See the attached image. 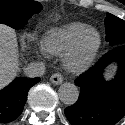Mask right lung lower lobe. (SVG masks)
Wrapping results in <instances>:
<instances>
[{
	"label": "right lung lower lobe",
	"instance_id": "98d812e1",
	"mask_svg": "<svg viewBox=\"0 0 125 125\" xmlns=\"http://www.w3.org/2000/svg\"><path fill=\"white\" fill-rule=\"evenodd\" d=\"M39 81V77H19L0 90V123L11 122L22 113L29 89Z\"/></svg>",
	"mask_w": 125,
	"mask_h": 125
}]
</instances>
